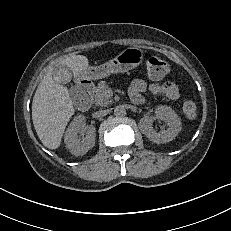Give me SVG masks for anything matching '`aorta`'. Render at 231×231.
I'll return each instance as SVG.
<instances>
[{
    "label": "aorta",
    "mask_w": 231,
    "mask_h": 231,
    "mask_svg": "<svg viewBox=\"0 0 231 231\" xmlns=\"http://www.w3.org/2000/svg\"><path fill=\"white\" fill-rule=\"evenodd\" d=\"M114 115L116 117H124L126 115V109L124 106H116L114 109Z\"/></svg>",
    "instance_id": "obj_1"
}]
</instances>
